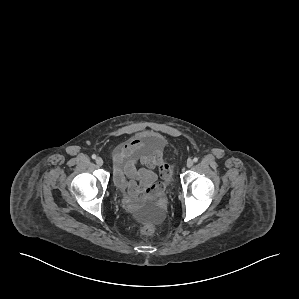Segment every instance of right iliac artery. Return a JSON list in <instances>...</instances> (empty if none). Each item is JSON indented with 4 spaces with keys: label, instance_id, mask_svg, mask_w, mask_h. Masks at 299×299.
Listing matches in <instances>:
<instances>
[{
    "label": "right iliac artery",
    "instance_id": "82829eb1",
    "mask_svg": "<svg viewBox=\"0 0 299 299\" xmlns=\"http://www.w3.org/2000/svg\"><path fill=\"white\" fill-rule=\"evenodd\" d=\"M92 159H96V155L95 154L92 155Z\"/></svg>",
    "mask_w": 299,
    "mask_h": 299
}]
</instances>
